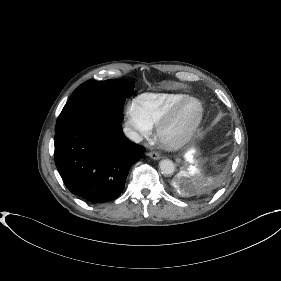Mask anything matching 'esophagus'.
<instances>
[{"label": "esophagus", "mask_w": 281, "mask_h": 281, "mask_svg": "<svg viewBox=\"0 0 281 281\" xmlns=\"http://www.w3.org/2000/svg\"><path fill=\"white\" fill-rule=\"evenodd\" d=\"M148 155L154 160H158L161 158L160 154L157 151H150Z\"/></svg>", "instance_id": "1"}]
</instances>
